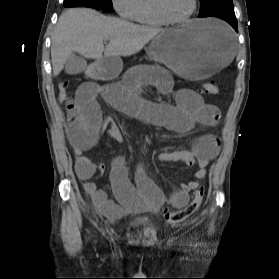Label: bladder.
<instances>
[{
	"label": "bladder",
	"instance_id": "obj_1",
	"mask_svg": "<svg viewBox=\"0 0 279 279\" xmlns=\"http://www.w3.org/2000/svg\"><path fill=\"white\" fill-rule=\"evenodd\" d=\"M153 226H156V224L151 217L134 218L130 220L128 223V227L130 229H136L139 227H153Z\"/></svg>",
	"mask_w": 279,
	"mask_h": 279
}]
</instances>
